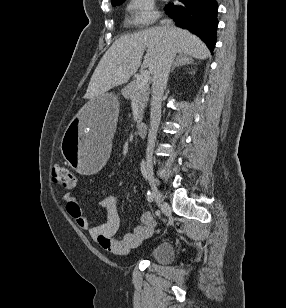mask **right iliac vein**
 Returning a JSON list of instances; mask_svg holds the SVG:
<instances>
[{
  "label": "right iliac vein",
  "mask_w": 286,
  "mask_h": 308,
  "mask_svg": "<svg viewBox=\"0 0 286 308\" xmlns=\"http://www.w3.org/2000/svg\"><path fill=\"white\" fill-rule=\"evenodd\" d=\"M146 169L148 171L149 182H150V185H151V188H152V191H153V195L155 197V201H156L157 205L159 206V208L162 210V212H167L168 211V205L162 200V198L159 194L157 182L154 178L151 155L148 156Z\"/></svg>",
  "instance_id": "obj_1"
}]
</instances>
